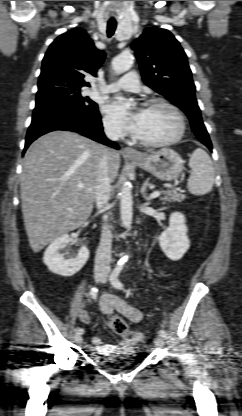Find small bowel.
Here are the masks:
<instances>
[{
	"label": "small bowel",
	"mask_w": 242,
	"mask_h": 416,
	"mask_svg": "<svg viewBox=\"0 0 242 416\" xmlns=\"http://www.w3.org/2000/svg\"><path fill=\"white\" fill-rule=\"evenodd\" d=\"M99 305L101 311L107 316L113 315L114 313H118L133 322L140 321L143 316L142 312L137 307L127 303L120 297L111 293H103L100 297ZM78 318L84 324H89L91 322L90 315L88 311L84 308L79 310ZM91 344L94 347V349H96L100 353H106L111 348H113L112 345L104 343L98 337H93L91 339Z\"/></svg>",
	"instance_id": "small-bowel-1"
}]
</instances>
